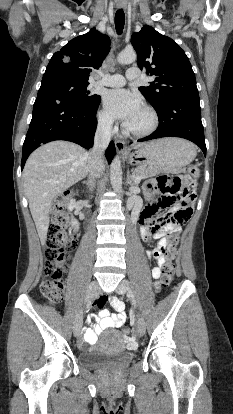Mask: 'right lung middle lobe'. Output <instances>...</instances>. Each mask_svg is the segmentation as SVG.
I'll use <instances>...</instances> for the list:
<instances>
[{"mask_svg":"<svg viewBox=\"0 0 233 414\" xmlns=\"http://www.w3.org/2000/svg\"><path fill=\"white\" fill-rule=\"evenodd\" d=\"M88 82L78 81L62 76H43L40 96H52L76 105H93L100 101V96L87 90Z\"/></svg>","mask_w":233,"mask_h":414,"instance_id":"dd1d6c3e","label":"right lung middle lobe"}]
</instances>
